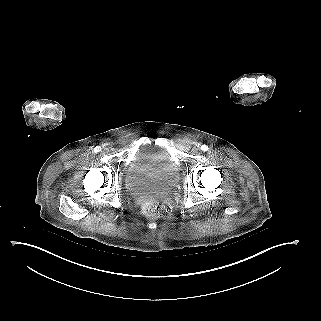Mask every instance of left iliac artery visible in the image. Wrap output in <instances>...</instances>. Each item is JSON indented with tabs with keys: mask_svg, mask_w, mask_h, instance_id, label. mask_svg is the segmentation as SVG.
I'll list each match as a JSON object with an SVG mask.
<instances>
[{
	"mask_svg": "<svg viewBox=\"0 0 321 321\" xmlns=\"http://www.w3.org/2000/svg\"><path fill=\"white\" fill-rule=\"evenodd\" d=\"M201 150H202V151H207V150H208V146L202 145V146H201Z\"/></svg>",
	"mask_w": 321,
	"mask_h": 321,
	"instance_id": "left-iliac-artery-1",
	"label": "left iliac artery"
}]
</instances>
